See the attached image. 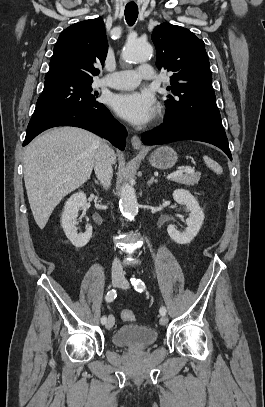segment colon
<instances>
[{"instance_id": "1", "label": "colon", "mask_w": 265, "mask_h": 407, "mask_svg": "<svg viewBox=\"0 0 265 407\" xmlns=\"http://www.w3.org/2000/svg\"><path fill=\"white\" fill-rule=\"evenodd\" d=\"M121 319L125 322H131L135 319V315L132 310L124 309L121 311Z\"/></svg>"}]
</instances>
